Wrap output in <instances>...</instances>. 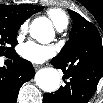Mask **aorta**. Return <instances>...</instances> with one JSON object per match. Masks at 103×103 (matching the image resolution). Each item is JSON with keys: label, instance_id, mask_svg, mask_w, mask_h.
<instances>
[{"label": "aorta", "instance_id": "obj_1", "mask_svg": "<svg viewBox=\"0 0 103 103\" xmlns=\"http://www.w3.org/2000/svg\"><path fill=\"white\" fill-rule=\"evenodd\" d=\"M44 29L51 30V23L46 18L35 19L30 27L31 34L34 37L41 36ZM35 81L41 90L45 92H54L59 88L60 75L54 68H45L36 73Z\"/></svg>", "mask_w": 103, "mask_h": 103}]
</instances>
